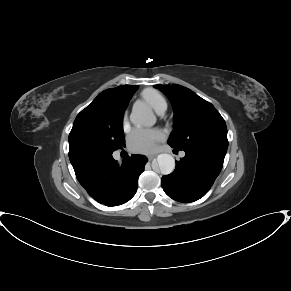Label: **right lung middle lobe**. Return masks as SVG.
<instances>
[{
  "label": "right lung middle lobe",
  "instance_id": "right-lung-middle-lobe-1",
  "mask_svg": "<svg viewBox=\"0 0 291 291\" xmlns=\"http://www.w3.org/2000/svg\"><path fill=\"white\" fill-rule=\"evenodd\" d=\"M129 99L110 96L93 101L76 117L69 134V150L113 153L125 145L123 114Z\"/></svg>",
  "mask_w": 291,
  "mask_h": 291
}]
</instances>
